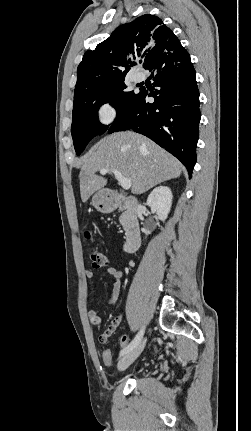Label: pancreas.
Returning <instances> with one entry per match:
<instances>
[{
	"instance_id": "obj_1",
	"label": "pancreas",
	"mask_w": 251,
	"mask_h": 431,
	"mask_svg": "<svg viewBox=\"0 0 251 431\" xmlns=\"http://www.w3.org/2000/svg\"><path fill=\"white\" fill-rule=\"evenodd\" d=\"M124 219H125V214H122V215L120 216V218H119L120 223H121L122 225H124Z\"/></svg>"
}]
</instances>
